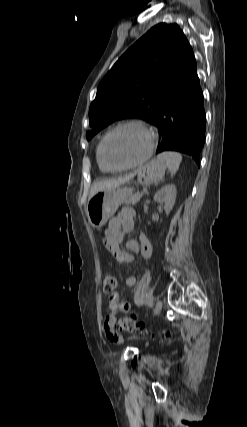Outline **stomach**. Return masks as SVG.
Here are the masks:
<instances>
[{
    "instance_id": "1",
    "label": "stomach",
    "mask_w": 247,
    "mask_h": 427,
    "mask_svg": "<svg viewBox=\"0 0 247 427\" xmlns=\"http://www.w3.org/2000/svg\"><path fill=\"white\" fill-rule=\"evenodd\" d=\"M166 164L152 160L137 171L139 183L149 185L160 181L165 174ZM133 189L117 187L101 190L93 195L87 203L86 213L89 223L94 228L102 227L111 218L120 204L132 196Z\"/></svg>"
}]
</instances>
